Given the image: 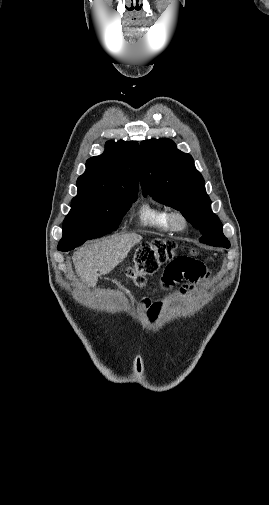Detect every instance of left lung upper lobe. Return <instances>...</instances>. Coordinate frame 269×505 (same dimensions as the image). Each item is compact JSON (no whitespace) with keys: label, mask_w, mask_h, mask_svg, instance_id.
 <instances>
[{"label":"left lung upper lobe","mask_w":269,"mask_h":505,"mask_svg":"<svg viewBox=\"0 0 269 505\" xmlns=\"http://www.w3.org/2000/svg\"><path fill=\"white\" fill-rule=\"evenodd\" d=\"M141 187L144 196L179 210L203 235L200 242L230 247L219 218L211 210L205 181L193 158L179 151L169 139H150L140 144Z\"/></svg>","instance_id":"1"}]
</instances>
